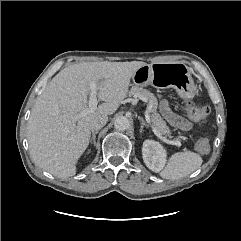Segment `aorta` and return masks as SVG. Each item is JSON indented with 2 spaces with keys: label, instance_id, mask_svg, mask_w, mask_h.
<instances>
[{
  "label": "aorta",
  "instance_id": "obj_1",
  "mask_svg": "<svg viewBox=\"0 0 241 241\" xmlns=\"http://www.w3.org/2000/svg\"><path fill=\"white\" fill-rule=\"evenodd\" d=\"M129 126L130 122L125 116H118L114 121V127L119 131H125L129 128Z\"/></svg>",
  "mask_w": 241,
  "mask_h": 241
}]
</instances>
